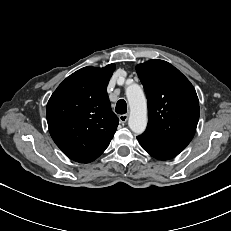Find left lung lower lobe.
I'll list each match as a JSON object with an SVG mask.
<instances>
[{"mask_svg": "<svg viewBox=\"0 0 231 231\" xmlns=\"http://www.w3.org/2000/svg\"><path fill=\"white\" fill-rule=\"evenodd\" d=\"M142 148L152 157L159 160H168L177 156L181 151L162 145L144 135L137 136Z\"/></svg>", "mask_w": 231, "mask_h": 231, "instance_id": "left-lung-lower-lobe-1", "label": "left lung lower lobe"}]
</instances>
